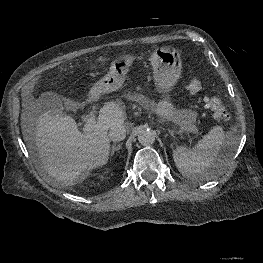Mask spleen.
I'll return each mask as SVG.
<instances>
[{
    "instance_id": "1",
    "label": "spleen",
    "mask_w": 263,
    "mask_h": 263,
    "mask_svg": "<svg viewBox=\"0 0 263 263\" xmlns=\"http://www.w3.org/2000/svg\"><path fill=\"white\" fill-rule=\"evenodd\" d=\"M237 144V137L226 135L220 126H215L192 149L178 146L173 151V159L184 177L209 179L227 169ZM222 148H225V151L219 156ZM212 166L213 171L210 174L206 173Z\"/></svg>"
}]
</instances>
